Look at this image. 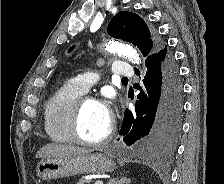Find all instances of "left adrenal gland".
I'll return each instance as SVG.
<instances>
[{"label": "left adrenal gland", "instance_id": "a2214340", "mask_svg": "<svg viewBox=\"0 0 224 184\" xmlns=\"http://www.w3.org/2000/svg\"><path fill=\"white\" fill-rule=\"evenodd\" d=\"M130 180L126 177H121L120 179L114 178L110 179L107 184H129Z\"/></svg>", "mask_w": 224, "mask_h": 184}]
</instances>
